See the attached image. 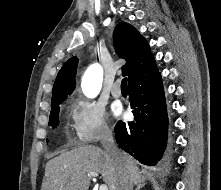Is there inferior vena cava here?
<instances>
[{"label":"inferior vena cava","instance_id":"1","mask_svg":"<svg viewBox=\"0 0 221 190\" xmlns=\"http://www.w3.org/2000/svg\"><path fill=\"white\" fill-rule=\"evenodd\" d=\"M101 144L104 150L111 156L114 162L121 169V176L119 179L117 190H132V182L129 177L127 166L123 159L122 152L115 145L112 132L109 129H106L104 131Z\"/></svg>","mask_w":221,"mask_h":190}]
</instances>
